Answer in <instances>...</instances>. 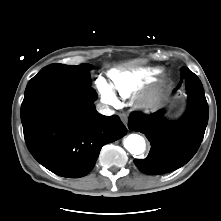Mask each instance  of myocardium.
I'll return each mask as SVG.
<instances>
[{
    "label": "myocardium",
    "mask_w": 221,
    "mask_h": 221,
    "mask_svg": "<svg viewBox=\"0 0 221 221\" xmlns=\"http://www.w3.org/2000/svg\"><path fill=\"white\" fill-rule=\"evenodd\" d=\"M142 107L145 108V109H147V108L149 107V104H147V103H146V104H143Z\"/></svg>",
    "instance_id": "obj_1"
}]
</instances>
